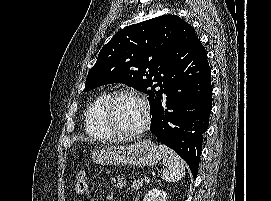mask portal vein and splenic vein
<instances>
[{
  "mask_svg": "<svg viewBox=\"0 0 271 201\" xmlns=\"http://www.w3.org/2000/svg\"><path fill=\"white\" fill-rule=\"evenodd\" d=\"M150 179L148 177L145 178V182H149Z\"/></svg>",
  "mask_w": 271,
  "mask_h": 201,
  "instance_id": "obj_1",
  "label": "portal vein and splenic vein"
}]
</instances>
